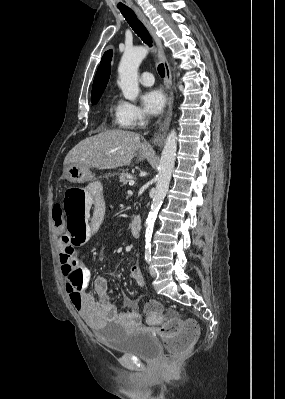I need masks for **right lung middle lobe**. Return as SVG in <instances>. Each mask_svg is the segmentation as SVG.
<instances>
[{"label":"right lung middle lobe","instance_id":"dd1d6c3e","mask_svg":"<svg viewBox=\"0 0 285 399\" xmlns=\"http://www.w3.org/2000/svg\"><path fill=\"white\" fill-rule=\"evenodd\" d=\"M101 95H102V93H101V94H98V95L92 96V97H91V102H92L93 104L97 103L98 100L100 99Z\"/></svg>","mask_w":285,"mask_h":399}]
</instances>
